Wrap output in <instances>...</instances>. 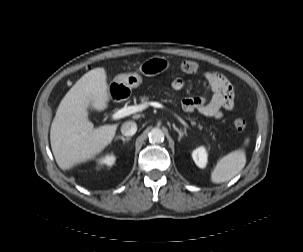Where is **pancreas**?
Wrapping results in <instances>:
<instances>
[{
    "instance_id": "cf45deb5",
    "label": "pancreas",
    "mask_w": 303,
    "mask_h": 252,
    "mask_svg": "<svg viewBox=\"0 0 303 252\" xmlns=\"http://www.w3.org/2000/svg\"><path fill=\"white\" fill-rule=\"evenodd\" d=\"M141 102H147L149 100V98L147 96H143L140 98ZM193 125L196 124L194 121L191 122ZM199 127L201 128V126L199 125ZM212 135V133H211ZM212 138H214V136H212Z\"/></svg>"
}]
</instances>
